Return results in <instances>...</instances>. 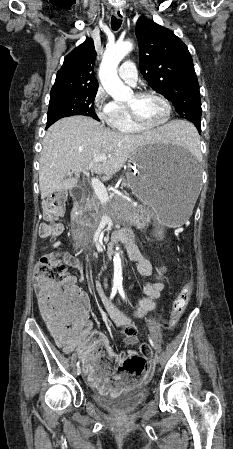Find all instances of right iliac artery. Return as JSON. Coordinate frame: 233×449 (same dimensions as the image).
Returning <instances> with one entry per match:
<instances>
[{"label": "right iliac artery", "instance_id": "1", "mask_svg": "<svg viewBox=\"0 0 233 449\" xmlns=\"http://www.w3.org/2000/svg\"><path fill=\"white\" fill-rule=\"evenodd\" d=\"M117 289H118L117 286H113V287H112V291H111V295H110V300L113 299L114 296L116 295ZM77 367H80V361L77 362Z\"/></svg>", "mask_w": 233, "mask_h": 449}]
</instances>
